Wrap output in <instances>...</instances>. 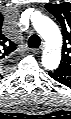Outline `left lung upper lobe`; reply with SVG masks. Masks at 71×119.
<instances>
[{"label": "left lung upper lobe", "instance_id": "1", "mask_svg": "<svg viewBox=\"0 0 71 119\" xmlns=\"http://www.w3.org/2000/svg\"><path fill=\"white\" fill-rule=\"evenodd\" d=\"M45 8L56 17L62 26L64 43L59 67L71 70V3H47Z\"/></svg>", "mask_w": 71, "mask_h": 119}]
</instances>
